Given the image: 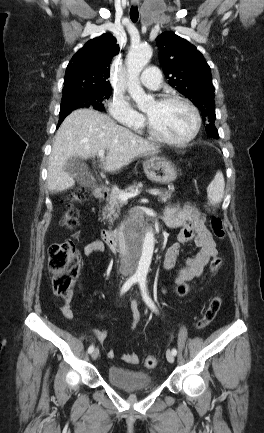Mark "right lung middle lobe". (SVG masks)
I'll return each instance as SVG.
<instances>
[{"label": "right lung middle lobe", "instance_id": "obj_1", "mask_svg": "<svg viewBox=\"0 0 264 433\" xmlns=\"http://www.w3.org/2000/svg\"><path fill=\"white\" fill-rule=\"evenodd\" d=\"M110 95L111 87L71 93L62 98L59 120H63L70 112L81 107L103 111V101L108 99Z\"/></svg>", "mask_w": 264, "mask_h": 433}]
</instances>
